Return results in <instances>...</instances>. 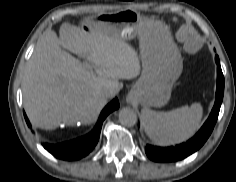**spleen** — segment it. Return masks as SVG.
I'll use <instances>...</instances> for the list:
<instances>
[{"instance_id": "spleen-1", "label": "spleen", "mask_w": 236, "mask_h": 182, "mask_svg": "<svg viewBox=\"0 0 236 182\" xmlns=\"http://www.w3.org/2000/svg\"><path fill=\"white\" fill-rule=\"evenodd\" d=\"M203 109L200 103L163 112L142 109V124L147 136L159 145L186 141L199 129Z\"/></svg>"}]
</instances>
